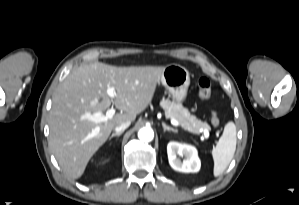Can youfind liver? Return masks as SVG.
I'll return each mask as SVG.
<instances>
[{"label":"liver","instance_id":"liver-1","mask_svg":"<svg viewBox=\"0 0 299 205\" xmlns=\"http://www.w3.org/2000/svg\"><path fill=\"white\" fill-rule=\"evenodd\" d=\"M164 67H117L101 62L73 70L57 88L49 116V146L63 171L80 178L91 157L111 131L134 121L152 102ZM115 90L110 98L106 91ZM113 104L120 110L95 123L89 115L103 114ZM95 132V133H94Z\"/></svg>","mask_w":299,"mask_h":205}]
</instances>
